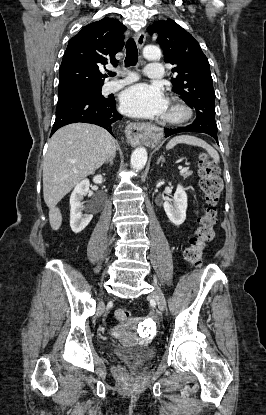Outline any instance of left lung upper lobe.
<instances>
[{
    "mask_svg": "<svg viewBox=\"0 0 266 415\" xmlns=\"http://www.w3.org/2000/svg\"><path fill=\"white\" fill-rule=\"evenodd\" d=\"M148 31L158 33L157 42L164 51V60L174 65L172 90L196 111L197 117L189 126L198 132L216 135L213 80L199 43L171 19L154 22Z\"/></svg>",
    "mask_w": 266,
    "mask_h": 415,
    "instance_id": "5c2ea615",
    "label": "left lung upper lobe"
}]
</instances>
